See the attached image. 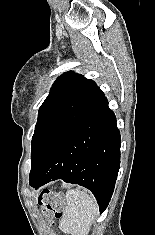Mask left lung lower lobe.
<instances>
[{"instance_id": "obj_1", "label": "left lung lower lobe", "mask_w": 155, "mask_h": 235, "mask_svg": "<svg viewBox=\"0 0 155 235\" xmlns=\"http://www.w3.org/2000/svg\"><path fill=\"white\" fill-rule=\"evenodd\" d=\"M121 137L116 117L104 96L90 114L57 145L30 186L62 179L88 188L103 212L113 194L120 167Z\"/></svg>"}]
</instances>
